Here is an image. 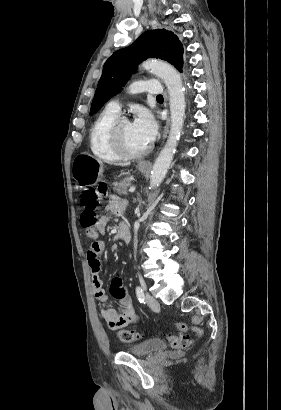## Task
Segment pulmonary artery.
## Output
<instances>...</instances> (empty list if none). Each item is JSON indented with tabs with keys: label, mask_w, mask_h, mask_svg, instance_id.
I'll return each instance as SVG.
<instances>
[{
	"label": "pulmonary artery",
	"mask_w": 281,
	"mask_h": 410,
	"mask_svg": "<svg viewBox=\"0 0 281 410\" xmlns=\"http://www.w3.org/2000/svg\"><path fill=\"white\" fill-rule=\"evenodd\" d=\"M131 89L135 92H148L151 94H161L163 87L155 80H143L132 84ZM117 112L120 111V104L117 100L110 101L108 106Z\"/></svg>",
	"instance_id": "obj_1"
}]
</instances>
